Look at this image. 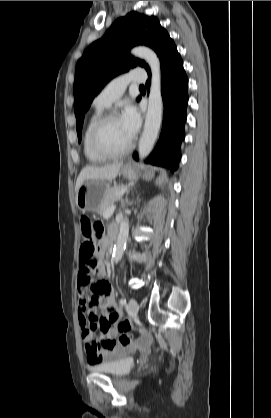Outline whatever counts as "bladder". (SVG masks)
<instances>
[{
  "label": "bladder",
  "instance_id": "bladder-1",
  "mask_svg": "<svg viewBox=\"0 0 271 418\" xmlns=\"http://www.w3.org/2000/svg\"><path fill=\"white\" fill-rule=\"evenodd\" d=\"M132 365L131 352L126 351L112 359L94 365L91 370L111 377H122L128 373Z\"/></svg>",
  "mask_w": 271,
  "mask_h": 418
}]
</instances>
